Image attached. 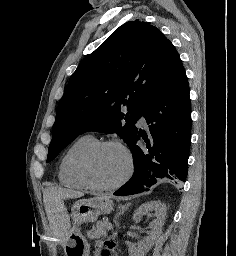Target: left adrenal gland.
Returning <instances> with one entry per match:
<instances>
[{
  "label": "left adrenal gland",
  "instance_id": "left-adrenal-gland-1",
  "mask_svg": "<svg viewBox=\"0 0 236 256\" xmlns=\"http://www.w3.org/2000/svg\"><path fill=\"white\" fill-rule=\"evenodd\" d=\"M119 208H120V212H117V214L113 220V222H115V224H116V220H117L118 216H121V214H124V212H125L124 206H119Z\"/></svg>",
  "mask_w": 236,
  "mask_h": 256
}]
</instances>
